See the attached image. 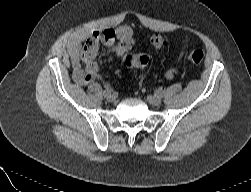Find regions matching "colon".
<instances>
[{
	"label": "colon",
	"instance_id": "obj_1",
	"mask_svg": "<svg viewBox=\"0 0 251 192\" xmlns=\"http://www.w3.org/2000/svg\"><path fill=\"white\" fill-rule=\"evenodd\" d=\"M151 43L156 49L163 48L167 41L160 35H155L151 38ZM205 53L201 49L190 50L187 54V59L193 64H199L203 61ZM122 65L126 68H144L149 65V57L144 54H133L125 52L122 59Z\"/></svg>",
	"mask_w": 251,
	"mask_h": 192
}]
</instances>
